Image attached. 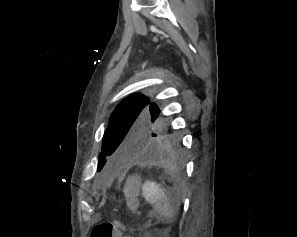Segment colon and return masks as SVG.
<instances>
[{
    "label": "colon",
    "instance_id": "obj_1",
    "mask_svg": "<svg viewBox=\"0 0 297 237\" xmlns=\"http://www.w3.org/2000/svg\"><path fill=\"white\" fill-rule=\"evenodd\" d=\"M137 182L128 181L125 185L124 193L128 199V204L134 206ZM125 226L116 222H102L97 224L91 231L90 237H128L124 235Z\"/></svg>",
    "mask_w": 297,
    "mask_h": 237
}]
</instances>
